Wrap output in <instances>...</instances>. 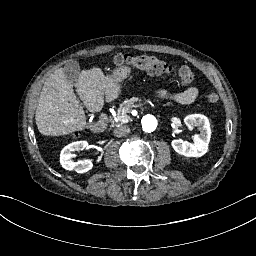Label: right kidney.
<instances>
[{
    "label": "right kidney",
    "instance_id": "right-kidney-1",
    "mask_svg": "<svg viewBox=\"0 0 256 256\" xmlns=\"http://www.w3.org/2000/svg\"><path fill=\"white\" fill-rule=\"evenodd\" d=\"M89 143L86 140L76 141L68 144L63 148L60 154V163L61 166L68 171H76L79 174L87 173L93 169V163L89 160H81L78 162L74 161L76 155L74 152L87 150Z\"/></svg>",
    "mask_w": 256,
    "mask_h": 256
}]
</instances>
